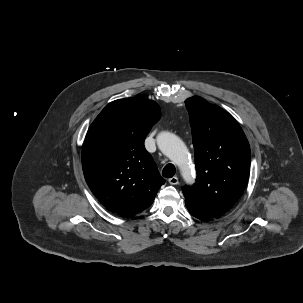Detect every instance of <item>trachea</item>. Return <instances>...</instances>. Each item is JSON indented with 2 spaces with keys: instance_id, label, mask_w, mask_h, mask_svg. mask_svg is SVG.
Here are the masks:
<instances>
[{
  "instance_id": "obj_1",
  "label": "trachea",
  "mask_w": 303,
  "mask_h": 303,
  "mask_svg": "<svg viewBox=\"0 0 303 303\" xmlns=\"http://www.w3.org/2000/svg\"><path fill=\"white\" fill-rule=\"evenodd\" d=\"M175 172V166L173 164H167L162 171V176L165 178H172Z\"/></svg>"
}]
</instances>
